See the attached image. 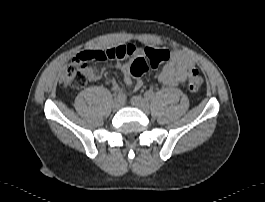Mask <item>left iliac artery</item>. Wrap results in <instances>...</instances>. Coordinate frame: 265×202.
<instances>
[{
	"mask_svg": "<svg viewBox=\"0 0 265 202\" xmlns=\"http://www.w3.org/2000/svg\"><path fill=\"white\" fill-rule=\"evenodd\" d=\"M144 96H145L146 98L152 99L153 96H154V92H153V91H147V92L144 94Z\"/></svg>",
	"mask_w": 265,
	"mask_h": 202,
	"instance_id": "44dca946",
	"label": "left iliac artery"
}]
</instances>
